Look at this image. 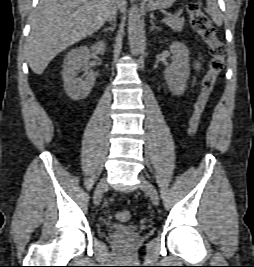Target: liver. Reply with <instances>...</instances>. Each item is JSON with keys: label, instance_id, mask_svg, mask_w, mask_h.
<instances>
[{"label": "liver", "instance_id": "obj_1", "mask_svg": "<svg viewBox=\"0 0 254 267\" xmlns=\"http://www.w3.org/2000/svg\"><path fill=\"white\" fill-rule=\"evenodd\" d=\"M115 0H40L30 16L27 58L31 70L42 74L60 52L99 30ZM125 9V1L118 0Z\"/></svg>", "mask_w": 254, "mask_h": 267}]
</instances>
